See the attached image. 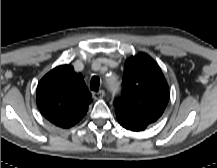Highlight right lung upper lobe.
Wrapping results in <instances>:
<instances>
[{"label": "right lung upper lobe", "mask_w": 217, "mask_h": 168, "mask_svg": "<svg viewBox=\"0 0 217 168\" xmlns=\"http://www.w3.org/2000/svg\"><path fill=\"white\" fill-rule=\"evenodd\" d=\"M92 102L82 74L70 65L57 66L37 87V105L46 119L58 127L69 128L86 114Z\"/></svg>", "instance_id": "1"}]
</instances>
